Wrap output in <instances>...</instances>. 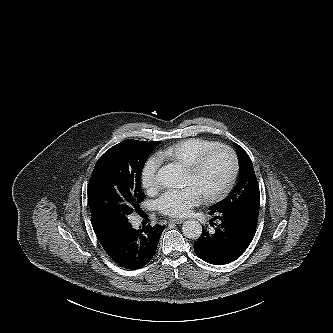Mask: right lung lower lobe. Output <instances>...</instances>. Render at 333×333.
Wrapping results in <instances>:
<instances>
[{"label":"right lung lower lobe","instance_id":"obj_1","mask_svg":"<svg viewBox=\"0 0 333 333\" xmlns=\"http://www.w3.org/2000/svg\"><path fill=\"white\" fill-rule=\"evenodd\" d=\"M165 226H150L133 229L128 222L115 228L109 235L98 237L107 254L121 267L138 269L155 255L160 235Z\"/></svg>","mask_w":333,"mask_h":333}]
</instances>
